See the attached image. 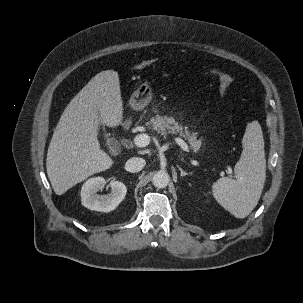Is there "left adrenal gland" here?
Segmentation results:
<instances>
[{
  "label": "left adrenal gland",
  "instance_id": "a2214340",
  "mask_svg": "<svg viewBox=\"0 0 303 303\" xmlns=\"http://www.w3.org/2000/svg\"><path fill=\"white\" fill-rule=\"evenodd\" d=\"M181 160L185 162V160L183 158H181ZM178 169L181 172V177L186 176V175H190L192 173V172H186V171H184L181 167H178Z\"/></svg>",
  "mask_w": 303,
  "mask_h": 303
}]
</instances>
